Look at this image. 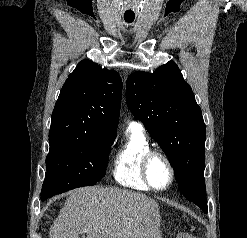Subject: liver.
Listing matches in <instances>:
<instances>
[{"label": "liver", "instance_id": "6515ba94", "mask_svg": "<svg viewBox=\"0 0 247 238\" xmlns=\"http://www.w3.org/2000/svg\"><path fill=\"white\" fill-rule=\"evenodd\" d=\"M159 208L144 194L115 187H84L69 193L50 238H158Z\"/></svg>", "mask_w": 247, "mask_h": 238}]
</instances>
